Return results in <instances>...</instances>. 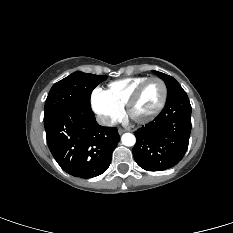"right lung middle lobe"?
<instances>
[{
  "label": "right lung middle lobe",
  "instance_id": "right-lung-middle-lobe-1",
  "mask_svg": "<svg viewBox=\"0 0 233 233\" xmlns=\"http://www.w3.org/2000/svg\"><path fill=\"white\" fill-rule=\"evenodd\" d=\"M106 78L79 71L55 83L45 102L44 118L68 107L90 106L92 90Z\"/></svg>",
  "mask_w": 233,
  "mask_h": 233
}]
</instances>
